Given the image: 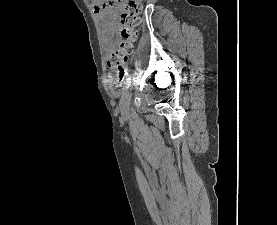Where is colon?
I'll return each mask as SVG.
<instances>
[{
	"instance_id": "1",
	"label": "colon",
	"mask_w": 277,
	"mask_h": 225,
	"mask_svg": "<svg viewBox=\"0 0 277 225\" xmlns=\"http://www.w3.org/2000/svg\"><path fill=\"white\" fill-rule=\"evenodd\" d=\"M141 10L140 0H124L123 11L120 14L121 40L118 48L110 54L108 59L110 78L113 82L120 83L128 74V61L137 40Z\"/></svg>"
}]
</instances>
